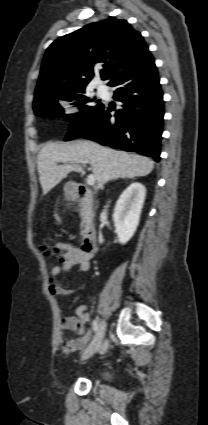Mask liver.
Masks as SVG:
<instances>
[{
	"label": "liver",
	"mask_w": 208,
	"mask_h": 425,
	"mask_svg": "<svg viewBox=\"0 0 208 425\" xmlns=\"http://www.w3.org/2000/svg\"><path fill=\"white\" fill-rule=\"evenodd\" d=\"M62 159H78L89 163L100 188L108 181L118 178L146 176L154 168V162L148 157L116 151L92 141H77L71 144L47 143L39 152L37 162L44 195L69 173L82 171V167L74 162L58 165Z\"/></svg>",
	"instance_id": "obj_1"
}]
</instances>
